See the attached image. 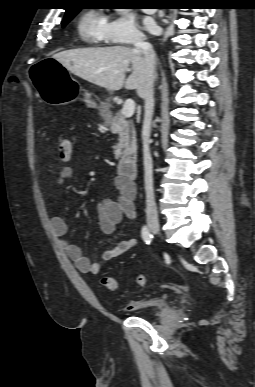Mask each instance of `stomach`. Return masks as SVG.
Segmentation results:
<instances>
[{"label": "stomach", "instance_id": "0dacf381", "mask_svg": "<svg viewBox=\"0 0 255 387\" xmlns=\"http://www.w3.org/2000/svg\"><path fill=\"white\" fill-rule=\"evenodd\" d=\"M36 66H27L26 72L33 82V90L38 91L42 99L50 105H65L75 98V81L67 70L53 58L36 61ZM84 102L88 107H95L90 94Z\"/></svg>", "mask_w": 255, "mask_h": 387}]
</instances>
